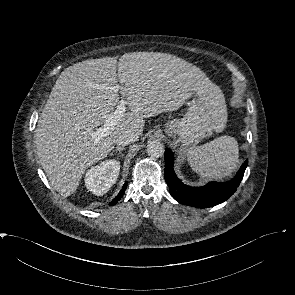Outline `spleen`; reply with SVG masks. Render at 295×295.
<instances>
[{"label":"spleen","mask_w":295,"mask_h":295,"mask_svg":"<svg viewBox=\"0 0 295 295\" xmlns=\"http://www.w3.org/2000/svg\"><path fill=\"white\" fill-rule=\"evenodd\" d=\"M238 157V143L231 136H221L187 151L190 167L201 176L214 179L230 175L238 165Z\"/></svg>","instance_id":"obj_1"}]
</instances>
